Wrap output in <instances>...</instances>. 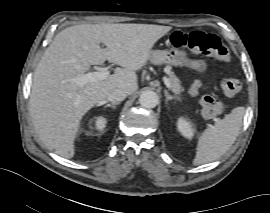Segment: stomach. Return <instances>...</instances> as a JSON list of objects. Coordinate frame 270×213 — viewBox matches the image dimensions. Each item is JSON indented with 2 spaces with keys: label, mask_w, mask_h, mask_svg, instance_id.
<instances>
[{
  "label": "stomach",
  "mask_w": 270,
  "mask_h": 213,
  "mask_svg": "<svg viewBox=\"0 0 270 213\" xmlns=\"http://www.w3.org/2000/svg\"><path fill=\"white\" fill-rule=\"evenodd\" d=\"M149 60L157 65L186 66L199 73H205L208 68L206 61L190 59L185 50L176 47H171L167 50H152Z\"/></svg>",
  "instance_id": "stomach-1"
}]
</instances>
